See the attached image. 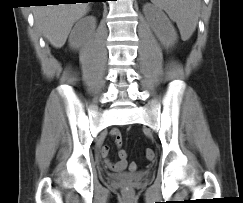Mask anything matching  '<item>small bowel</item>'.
<instances>
[{
    "instance_id": "obj_1",
    "label": "small bowel",
    "mask_w": 243,
    "mask_h": 203,
    "mask_svg": "<svg viewBox=\"0 0 243 203\" xmlns=\"http://www.w3.org/2000/svg\"><path fill=\"white\" fill-rule=\"evenodd\" d=\"M110 134L114 138L115 143L118 146H120L122 144V137H121L120 131L118 129H113ZM100 152H101L102 158L104 159L105 165L110 170H113V171H116V172H120V171H123L124 169H126V166H127L126 157H122L120 155V151L118 153L119 160L117 162H112L109 159L110 147L108 145H103L101 147ZM129 167L132 170L136 169V163H131Z\"/></svg>"
}]
</instances>
